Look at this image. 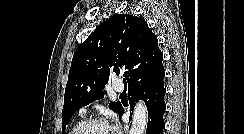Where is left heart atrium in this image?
<instances>
[{
    "label": "left heart atrium",
    "instance_id": "1",
    "mask_svg": "<svg viewBox=\"0 0 244 134\" xmlns=\"http://www.w3.org/2000/svg\"><path fill=\"white\" fill-rule=\"evenodd\" d=\"M111 131L116 134V130H115V127H110Z\"/></svg>",
    "mask_w": 244,
    "mask_h": 134
}]
</instances>
